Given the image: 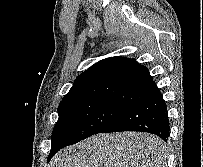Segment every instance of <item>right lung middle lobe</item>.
<instances>
[{"label":"right lung middle lobe","instance_id":"right-lung-middle-lobe-1","mask_svg":"<svg viewBox=\"0 0 203 167\" xmlns=\"http://www.w3.org/2000/svg\"><path fill=\"white\" fill-rule=\"evenodd\" d=\"M128 107L105 99H80L59 105L51 140L68 146L101 133Z\"/></svg>","mask_w":203,"mask_h":167}]
</instances>
